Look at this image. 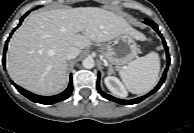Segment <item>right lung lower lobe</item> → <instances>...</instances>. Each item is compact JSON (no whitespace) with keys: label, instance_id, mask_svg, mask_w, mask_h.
I'll return each instance as SVG.
<instances>
[{"label":"right lung lower lobe","instance_id":"1","mask_svg":"<svg viewBox=\"0 0 194 133\" xmlns=\"http://www.w3.org/2000/svg\"><path fill=\"white\" fill-rule=\"evenodd\" d=\"M29 12H27L21 19H20V24L22 23L23 19L28 15ZM19 24V25H20ZM15 30V29H14ZM13 33V32H12ZM9 40V39H8ZM7 44H8V41H6V44H5V49H4V54H3V64H4V60H5V55H6V49H7ZM14 84V83H13ZM14 86L17 88V90L23 94L25 97H27L28 99H30L31 101L33 102H36V103H41V104H54L56 102H59V101H62V100H65L67 99L71 93H72V79L70 78V83H69V86L68 88L58 94V95H55V96H39V95H35L29 91H26L25 89L19 87L18 85L14 84Z\"/></svg>","mask_w":194,"mask_h":133}]
</instances>
